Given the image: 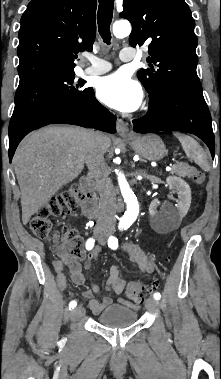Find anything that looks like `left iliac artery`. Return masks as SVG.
Listing matches in <instances>:
<instances>
[{
  "label": "left iliac artery",
  "instance_id": "left-iliac-artery-1",
  "mask_svg": "<svg viewBox=\"0 0 221 379\" xmlns=\"http://www.w3.org/2000/svg\"><path fill=\"white\" fill-rule=\"evenodd\" d=\"M108 246L111 249L116 250L118 248V239L115 236H110L108 239ZM153 298L159 300L161 298V294L159 292H155L153 294Z\"/></svg>",
  "mask_w": 221,
  "mask_h": 379
}]
</instances>
